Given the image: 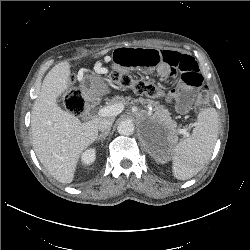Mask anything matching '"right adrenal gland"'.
<instances>
[{"mask_svg": "<svg viewBox=\"0 0 250 250\" xmlns=\"http://www.w3.org/2000/svg\"><path fill=\"white\" fill-rule=\"evenodd\" d=\"M109 134V131L107 132H104V133H101L97 138H96V141H99L101 140L102 142L105 140V138L108 136Z\"/></svg>", "mask_w": 250, "mask_h": 250, "instance_id": "2a0ac1e0", "label": "right adrenal gland"}]
</instances>
